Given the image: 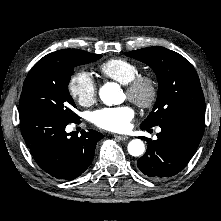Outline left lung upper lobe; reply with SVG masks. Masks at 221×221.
Masks as SVG:
<instances>
[{"mask_svg": "<svg viewBox=\"0 0 221 221\" xmlns=\"http://www.w3.org/2000/svg\"><path fill=\"white\" fill-rule=\"evenodd\" d=\"M125 55L152 67L158 79L156 103L140 127H154L181 114L205 112L199 77L183 56L159 46L126 52Z\"/></svg>", "mask_w": 221, "mask_h": 221, "instance_id": "5c2ea615", "label": "left lung upper lobe"}]
</instances>
